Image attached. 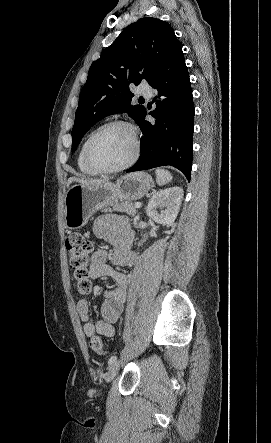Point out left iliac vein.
<instances>
[{
	"label": "left iliac vein",
	"mask_w": 271,
	"mask_h": 443,
	"mask_svg": "<svg viewBox=\"0 0 271 443\" xmlns=\"http://www.w3.org/2000/svg\"><path fill=\"white\" fill-rule=\"evenodd\" d=\"M119 367L120 366L118 362H114L113 364L110 365L105 377L106 382H111L115 378V376L119 371Z\"/></svg>",
	"instance_id": "1"
}]
</instances>
